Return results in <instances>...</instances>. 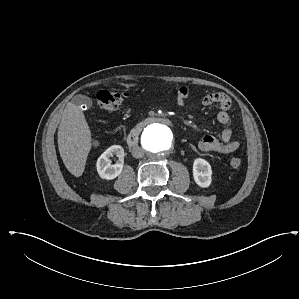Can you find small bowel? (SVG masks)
Segmentation results:
<instances>
[{
  "label": "small bowel",
  "mask_w": 299,
  "mask_h": 299,
  "mask_svg": "<svg viewBox=\"0 0 299 299\" xmlns=\"http://www.w3.org/2000/svg\"><path fill=\"white\" fill-rule=\"evenodd\" d=\"M188 97V89L180 87L177 92V104L184 106ZM202 105L205 107L217 106L219 111L217 113V121L224 126L220 138L214 136L203 137L198 147L203 152H212L218 154H231L239 148V142L232 140V130L229 127L231 117L228 110L231 106V99L224 93H211L202 98Z\"/></svg>",
  "instance_id": "small-bowel-1"
}]
</instances>
